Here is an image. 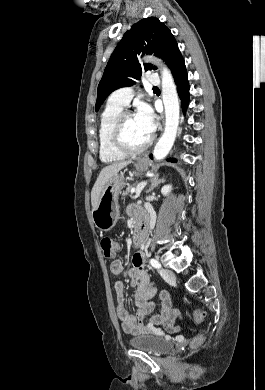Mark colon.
<instances>
[{
  "mask_svg": "<svg viewBox=\"0 0 265 390\" xmlns=\"http://www.w3.org/2000/svg\"><path fill=\"white\" fill-rule=\"evenodd\" d=\"M100 245L105 258L113 259L116 256L117 251L115 248V242L112 238L110 237L102 238ZM204 317H205V312L203 310L198 309L193 314V321L195 324H199L203 321ZM203 338H204V333L197 336L194 340V343L195 344L200 343L203 340Z\"/></svg>",
  "mask_w": 265,
  "mask_h": 390,
  "instance_id": "obj_1",
  "label": "colon"
}]
</instances>
